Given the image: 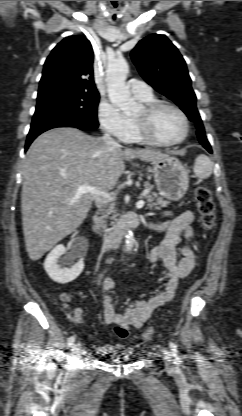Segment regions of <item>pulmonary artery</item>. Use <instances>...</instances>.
Returning <instances> with one entry per match:
<instances>
[{
	"mask_svg": "<svg viewBox=\"0 0 242 416\" xmlns=\"http://www.w3.org/2000/svg\"><path fill=\"white\" fill-rule=\"evenodd\" d=\"M128 85L132 94L136 97H147L152 94V89L146 82L130 79Z\"/></svg>",
	"mask_w": 242,
	"mask_h": 416,
	"instance_id": "e3ab8cb5",
	"label": "pulmonary artery"
}]
</instances>
